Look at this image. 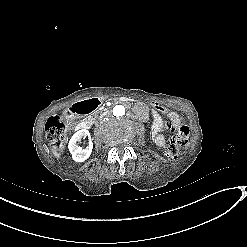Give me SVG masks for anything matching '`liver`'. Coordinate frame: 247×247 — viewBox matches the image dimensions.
Listing matches in <instances>:
<instances>
[{
  "mask_svg": "<svg viewBox=\"0 0 247 247\" xmlns=\"http://www.w3.org/2000/svg\"><path fill=\"white\" fill-rule=\"evenodd\" d=\"M49 149H50V152H51L52 156L57 161H62V156H61L60 152L56 148H54L53 146H50Z\"/></svg>",
  "mask_w": 247,
  "mask_h": 247,
  "instance_id": "obj_1",
  "label": "liver"
}]
</instances>
